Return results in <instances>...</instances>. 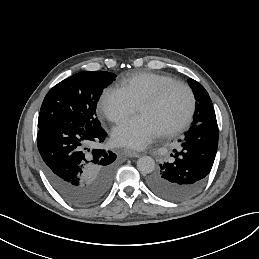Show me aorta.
<instances>
[{
    "instance_id": "762f6f07",
    "label": "aorta",
    "mask_w": 259,
    "mask_h": 259,
    "mask_svg": "<svg viewBox=\"0 0 259 259\" xmlns=\"http://www.w3.org/2000/svg\"><path fill=\"white\" fill-rule=\"evenodd\" d=\"M137 169L142 174H149L155 169V161L152 157L142 156L137 160Z\"/></svg>"
}]
</instances>
